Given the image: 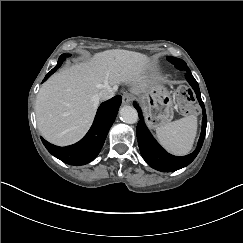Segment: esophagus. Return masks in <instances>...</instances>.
Returning a JSON list of instances; mask_svg holds the SVG:
<instances>
[{"label": "esophagus", "mask_w": 243, "mask_h": 243, "mask_svg": "<svg viewBox=\"0 0 243 243\" xmlns=\"http://www.w3.org/2000/svg\"><path fill=\"white\" fill-rule=\"evenodd\" d=\"M131 100H132L131 94L126 93L123 95V99H122L123 104L127 105Z\"/></svg>", "instance_id": "esophagus-1"}]
</instances>
